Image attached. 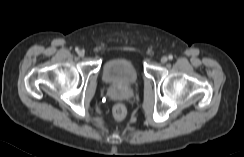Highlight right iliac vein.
<instances>
[{
	"label": "right iliac vein",
	"instance_id": "right-iliac-vein-1",
	"mask_svg": "<svg viewBox=\"0 0 244 157\" xmlns=\"http://www.w3.org/2000/svg\"><path fill=\"white\" fill-rule=\"evenodd\" d=\"M78 55H79L80 57H83V56L85 55V52H84L83 50H80V51L78 52Z\"/></svg>",
	"mask_w": 244,
	"mask_h": 157
}]
</instances>
